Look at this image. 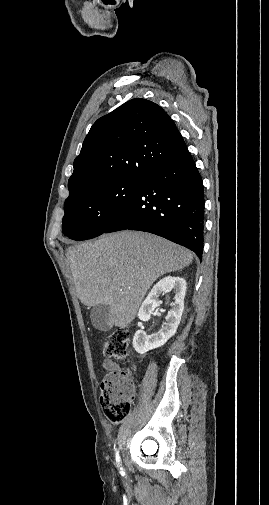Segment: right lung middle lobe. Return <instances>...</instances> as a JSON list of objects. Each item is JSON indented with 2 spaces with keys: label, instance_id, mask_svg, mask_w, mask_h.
I'll return each instance as SVG.
<instances>
[{
  "label": "right lung middle lobe",
  "instance_id": "right-lung-middle-lobe-1",
  "mask_svg": "<svg viewBox=\"0 0 269 505\" xmlns=\"http://www.w3.org/2000/svg\"><path fill=\"white\" fill-rule=\"evenodd\" d=\"M140 181L121 180L88 188L65 201L62 229L73 240L97 237L117 219Z\"/></svg>",
  "mask_w": 269,
  "mask_h": 505
}]
</instances>
